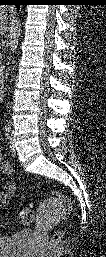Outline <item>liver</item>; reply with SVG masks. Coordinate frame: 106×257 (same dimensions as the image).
I'll list each match as a JSON object with an SVG mask.
<instances>
[{
  "mask_svg": "<svg viewBox=\"0 0 106 257\" xmlns=\"http://www.w3.org/2000/svg\"><path fill=\"white\" fill-rule=\"evenodd\" d=\"M6 23H7L6 8L2 7L1 11H0V30H1V33L6 32V30H7Z\"/></svg>",
  "mask_w": 106,
  "mask_h": 257,
  "instance_id": "1",
  "label": "liver"
}]
</instances>
